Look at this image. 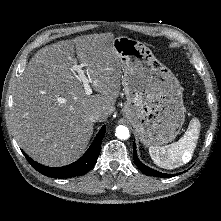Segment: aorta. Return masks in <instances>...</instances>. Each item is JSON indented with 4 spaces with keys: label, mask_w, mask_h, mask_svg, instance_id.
Segmentation results:
<instances>
[{
    "label": "aorta",
    "mask_w": 221,
    "mask_h": 221,
    "mask_svg": "<svg viewBox=\"0 0 221 221\" xmlns=\"http://www.w3.org/2000/svg\"><path fill=\"white\" fill-rule=\"evenodd\" d=\"M115 135L120 140H126L130 137V132L126 126L119 125L116 128Z\"/></svg>",
    "instance_id": "obj_1"
}]
</instances>
